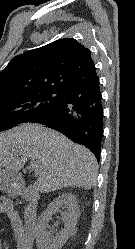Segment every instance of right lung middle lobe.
Instances as JSON below:
<instances>
[{
	"instance_id": "1",
	"label": "right lung middle lobe",
	"mask_w": 135,
	"mask_h": 249,
	"mask_svg": "<svg viewBox=\"0 0 135 249\" xmlns=\"http://www.w3.org/2000/svg\"><path fill=\"white\" fill-rule=\"evenodd\" d=\"M62 92L35 91L0 97V131L27 122L31 117L56 103Z\"/></svg>"
}]
</instances>
